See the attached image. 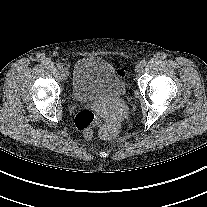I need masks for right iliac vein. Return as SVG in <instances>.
<instances>
[{
  "label": "right iliac vein",
  "instance_id": "1",
  "mask_svg": "<svg viewBox=\"0 0 207 207\" xmlns=\"http://www.w3.org/2000/svg\"><path fill=\"white\" fill-rule=\"evenodd\" d=\"M61 76L64 80L68 78V71L66 69H63L61 72Z\"/></svg>",
  "mask_w": 207,
  "mask_h": 207
}]
</instances>
